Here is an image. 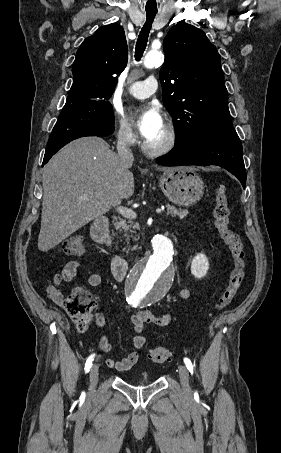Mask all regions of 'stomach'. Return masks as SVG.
Instances as JSON below:
<instances>
[{
    "mask_svg": "<svg viewBox=\"0 0 281 453\" xmlns=\"http://www.w3.org/2000/svg\"><path fill=\"white\" fill-rule=\"evenodd\" d=\"M160 186L165 196L179 206H192L204 194V182L192 166H173L164 170Z\"/></svg>",
    "mask_w": 281,
    "mask_h": 453,
    "instance_id": "0dacf381",
    "label": "stomach"
}]
</instances>
